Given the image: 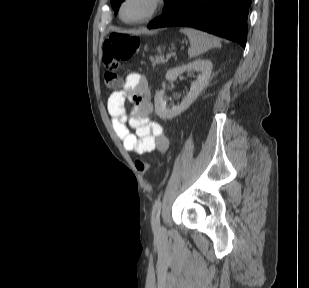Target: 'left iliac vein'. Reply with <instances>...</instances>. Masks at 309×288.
<instances>
[{"label":"left iliac vein","mask_w":309,"mask_h":288,"mask_svg":"<svg viewBox=\"0 0 309 288\" xmlns=\"http://www.w3.org/2000/svg\"><path fill=\"white\" fill-rule=\"evenodd\" d=\"M165 229L163 227H160V232L164 233Z\"/></svg>","instance_id":"1"}]
</instances>
